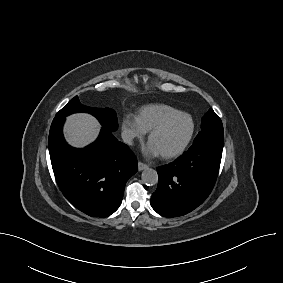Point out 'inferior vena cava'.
Segmentation results:
<instances>
[{"label":"inferior vena cava","mask_w":283,"mask_h":283,"mask_svg":"<svg viewBox=\"0 0 283 283\" xmlns=\"http://www.w3.org/2000/svg\"><path fill=\"white\" fill-rule=\"evenodd\" d=\"M122 140L125 142V143H128V144H132V141H133V138H134V135L130 132V131H123L122 134Z\"/></svg>","instance_id":"602c4592"}]
</instances>
